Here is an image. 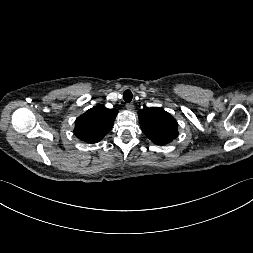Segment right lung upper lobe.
<instances>
[{"mask_svg":"<svg viewBox=\"0 0 253 253\" xmlns=\"http://www.w3.org/2000/svg\"><path fill=\"white\" fill-rule=\"evenodd\" d=\"M118 111L98 105L75 121L74 134L82 141L97 143L111 130Z\"/></svg>","mask_w":253,"mask_h":253,"instance_id":"right-lung-upper-lobe-1","label":"right lung upper lobe"}]
</instances>
